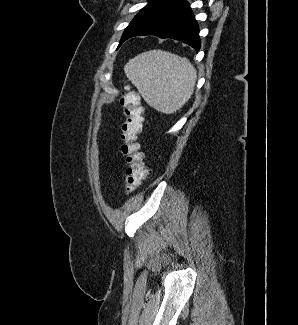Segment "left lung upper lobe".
Listing matches in <instances>:
<instances>
[{"label":"left lung upper lobe","instance_id":"obj_1","mask_svg":"<svg viewBox=\"0 0 298 325\" xmlns=\"http://www.w3.org/2000/svg\"><path fill=\"white\" fill-rule=\"evenodd\" d=\"M161 0H149V4L144 7L132 20V22L129 24V26L125 29L123 36L121 38V42H123L126 37L128 36L131 29L137 24V22L142 19L152 8H154ZM120 45V44H119Z\"/></svg>","mask_w":298,"mask_h":325}]
</instances>
